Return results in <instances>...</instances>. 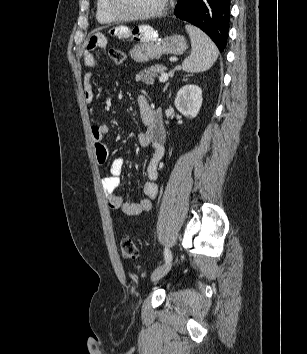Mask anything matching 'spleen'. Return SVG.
I'll use <instances>...</instances> for the list:
<instances>
[{"label":"spleen","mask_w":307,"mask_h":354,"mask_svg":"<svg viewBox=\"0 0 307 354\" xmlns=\"http://www.w3.org/2000/svg\"><path fill=\"white\" fill-rule=\"evenodd\" d=\"M186 30L191 39L192 51L182 64L186 72L199 73L212 67L218 57L214 42L199 28L187 25Z\"/></svg>","instance_id":"spleen-1"}]
</instances>
